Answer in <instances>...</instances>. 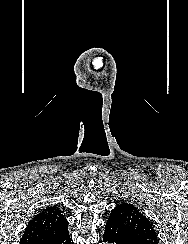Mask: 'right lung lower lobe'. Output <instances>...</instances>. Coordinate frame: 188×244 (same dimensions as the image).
Segmentation results:
<instances>
[{
  "label": "right lung lower lobe",
  "mask_w": 188,
  "mask_h": 244,
  "mask_svg": "<svg viewBox=\"0 0 188 244\" xmlns=\"http://www.w3.org/2000/svg\"><path fill=\"white\" fill-rule=\"evenodd\" d=\"M30 244H71L68 227L44 239L30 242Z\"/></svg>",
  "instance_id": "98d812e1"
}]
</instances>
